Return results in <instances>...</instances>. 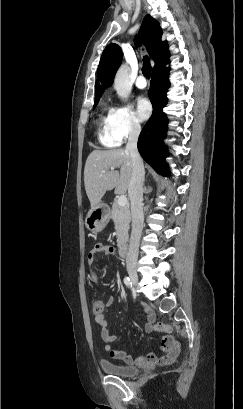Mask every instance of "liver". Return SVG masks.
Returning a JSON list of instances; mask_svg holds the SVG:
<instances>
[{"label":"liver","mask_w":243,"mask_h":409,"mask_svg":"<svg viewBox=\"0 0 243 409\" xmlns=\"http://www.w3.org/2000/svg\"><path fill=\"white\" fill-rule=\"evenodd\" d=\"M116 168H120V172L114 170ZM131 174L132 162L128 151L124 149L92 151L84 169L85 190L91 208L100 203L106 191L115 188L116 194H124L128 190Z\"/></svg>","instance_id":"6515ba94"}]
</instances>
